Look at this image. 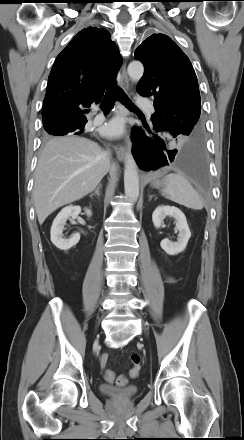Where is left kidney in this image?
<instances>
[{
  "mask_svg": "<svg viewBox=\"0 0 244 440\" xmlns=\"http://www.w3.org/2000/svg\"><path fill=\"white\" fill-rule=\"evenodd\" d=\"M167 216L173 217L176 220L175 229L179 231L178 239L177 242H172L169 239H163L160 243V246L167 254L177 255L186 248L188 240L191 237V232L183 212L177 207L164 205L157 207L152 214V221L155 228H160L163 220Z\"/></svg>",
  "mask_w": 244,
  "mask_h": 440,
  "instance_id": "left-kidney-1",
  "label": "left kidney"
}]
</instances>
